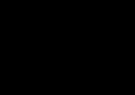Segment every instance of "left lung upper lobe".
Instances as JSON below:
<instances>
[{"label": "left lung upper lobe", "mask_w": 135, "mask_h": 95, "mask_svg": "<svg viewBox=\"0 0 135 95\" xmlns=\"http://www.w3.org/2000/svg\"><path fill=\"white\" fill-rule=\"evenodd\" d=\"M135 50V37L120 21L96 15L92 22L85 63L100 72L120 67Z\"/></svg>", "instance_id": "5c2ea615"}]
</instances>
